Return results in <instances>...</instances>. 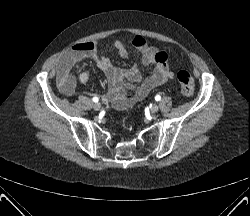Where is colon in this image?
<instances>
[{
    "mask_svg": "<svg viewBox=\"0 0 250 216\" xmlns=\"http://www.w3.org/2000/svg\"><path fill=\"white\" fill-rule=\"evenodd\" d=\"M177 79L180 84L182 94L186 97L192 96L194 93L195 85L191 75L187 71H180L177 74Z\"/></svg>",
    "mask_w": 250,
    "mask_h": 216,
    "instance_id": "colon-1",
    "label": "colon"
}]
</instances>
